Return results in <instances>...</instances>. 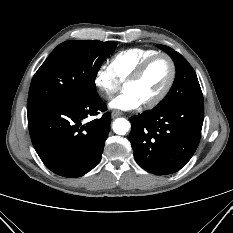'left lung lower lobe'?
Segmentation results:
<instances>
[{"label": "left lung lower lobe", "mask_w": 233, "mask_h": 233, "mask_svg": "<svg viewBox=\"0 0 233 233\" xmlns=\"http://www.w3.org/2000/svg\"><path fill=\"white\" fill-rule=\"evenodd\" d=\"M204 119L203 103H176L130 118L134 158L146 171L166 175L180 170L196 151Z\"/></svg>", "instance_id": "1"}]
</instances>
